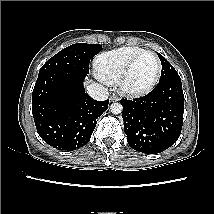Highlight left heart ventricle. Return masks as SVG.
<instances>
[{
	"instance_id": "obj_1",
	"label": "left heart ventricle",
	"mask_w": 214,
	"mask_h": 214,
	"mask_svg": "<svg viewBox=\"0 0 214 214\" xmlns=\"http://www.w3.org/2000/svg\"><path fill=\"white\" fill-rule=\"evenodd\" d=\"M156 71V59L152 55L146 54L135 64L128 85L132 88L145 87L154 79Z\"/></svg>"
}]
</instances>
